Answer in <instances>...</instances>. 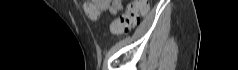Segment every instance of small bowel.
Masks as SVG:
<instances>
[{"label":"small bowel","instance_id":"small-bowel-1","mask_svg":"<svg viewBox=\"0 0 238 70\" xmlns=\"http://www.w3.org/2000/svg\"><path fill=\"white\" fill-rule=\"evenodd\" d=\"M89 8H92L96 12V17L90 15ZM121 8L122 2L120 0H93L83 5L85 14L91 20H96L103 11L116 14Z\"/></svg>","mask_w":238,"mask_h":70}]
</instances>
